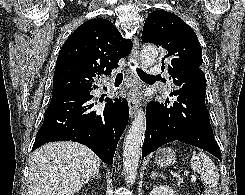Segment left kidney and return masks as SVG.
Masks as SVG:
<instances>
[{
  "instance_id": "1",
  "label": "left kidney",
  "mask_w": 245,
  "mask_h": 195,
  "mask_svg": "<svg viewBox=\"0 0 245 195\" xmlns=\"http://www.w3.org/2000/svg\"><path fill=\"white\" fill-rule=\"evenodd\" d=\"M150 195H177L174 190L167 186H155Z\"/></svg>"
}]
</instances>
